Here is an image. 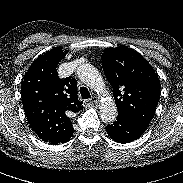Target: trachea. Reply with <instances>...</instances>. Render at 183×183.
<instances>
[{
  "label": "trachea",
  "mask_w": 183,
  "mask_h": 183,
  "mask_svg": "<svg viewBox=\"0 0 183 183\" xmlns=\"http://www.w3.org/2000/svg\"><path fill=\"white\" fill-rule=\"evenodd\" d=\"M80 95L82 99H89L91 98V94L88 91V89L86 87H81L80 88Z\"/></svg>",
  "instance_id": "3493384b"
}]
</instances>
